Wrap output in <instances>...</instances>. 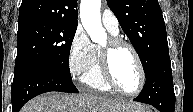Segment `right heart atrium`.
Instances as JSON below:
<instances>
[{"instance_id": "obj_1", "label": "right heart atrium", "mask_w": 193, "mask_h": 112, "mask_svg": "<svg viewBox=\"0 0 193 112\" xmlns=\"http://www.w3.org/2000/svg\"><path fill=\"white\" fill-rule=\"evenodd\" d=\"M93 57V44L85 31L78 27L73 34L68 50V68L73 77H82Z\"/></svg>"}]
</instances>
